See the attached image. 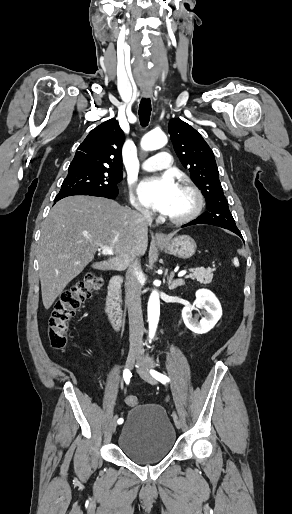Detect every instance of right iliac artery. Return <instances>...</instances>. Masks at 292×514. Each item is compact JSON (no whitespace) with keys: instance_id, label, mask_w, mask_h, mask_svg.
Here are the masks:
<instances>
[{"instance_id":"right-iliac-artery-1","label":"right iliac artery","mask_w":292,"mask_h":514,"mask_svg":"<svg viewBox=\"0 0 292 514\" xmlns=\"http://www.w3.org/2000/svg\"><path fill=\"white\" fill-rule=\"evenodd\" d=\"M131 377H132V374L129 371V369H125L124 372H123V378H124V381H125L126 384H129ZM123 421H124L123 418H119L117 423L118 424H122Z\"/></svg>"}]
</instances>
